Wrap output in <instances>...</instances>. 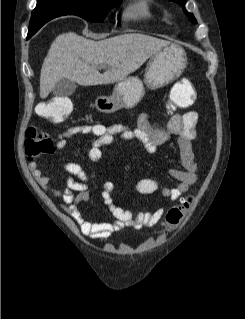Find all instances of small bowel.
<instances>
[{
  "label": "small bowel",
  "mask_w": 245,
  "mask_h": 319,
  "mask_svg": "<svg viewBox=\"0 0 245 319\" xmlns=\"http://www.w3.org/2000/svg\"><path fill=\"white\" fill-rule=\"evenodd\" d=\"M173 92H183L189 106L195 101V92L191 82L183 78L177 81ZM198 114L189 110L184 113H175L167 121L165 129H154L146 113L137 118L136 126L117 124L105 126L101 124L79 125L68 128L59 134L55 142V150L66 148L68 139L81 134H91L96 137L95 142L88 151V158L98 162L102 158V147L112 144L117 136L120 140L135 141L141 144L148 153H154L158 146L170 139H174L179 149L181 168H170L169 175L175 180L173 186L161 187L154 178H143L136 183V191L140 194H152L160 191L161 194L177 201L186 193L197 180V162L191 141L197 137ZM62 169L66 172V187L63 190L55 189L48 176L43 175L35 163H31L30 170L39 183L51 196L62 200V208L77 222L81 231L93 239H106L113 233L127 227L143 229L156 225L164 215L166 207L155 211H139L136 214L123 209L114 201L115 184L107 181L102 185V198L112 214L113 221L92 222L83 216L79 209L80 203H88L90 196L87 192L88 175L78 164L72 161L62 162ZM76 177L78 180L74 179ZM75 192L77 193L75 195Z\"/></svg>",
  "instance_id": "obj_1"
}]
</instances>
